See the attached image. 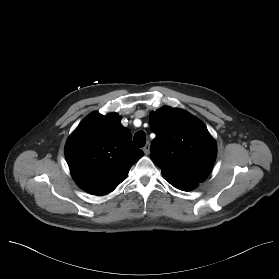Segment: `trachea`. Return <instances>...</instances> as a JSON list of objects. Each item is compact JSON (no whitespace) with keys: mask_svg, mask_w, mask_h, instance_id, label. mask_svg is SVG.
Returning <instances> with one entry per match:
<instances>
[{"mask_svg":"<svg viewBox=\"0 0 279 279\" xmlns=\"http://www.w3.org/2000/svg\"><path fill=\"white\" fill-rule=\"evenodd\" d=\"M134 144L137 147H143L146 144V134L143 131H138L134 135Z\"/></svg>","mask_w":279,"mask_h":279,"instance_id":"trachea-1","label":"trachea"}]
</instances>
